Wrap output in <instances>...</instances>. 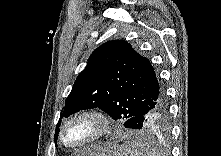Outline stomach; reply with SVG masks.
I'll return each mask as SVG.
<instances>
[{
    "instance_id": "0dacf381",
    "label": "stomach",
    "mask_w": 221,
    "mask_h": 156,
    "mask_svg": "<svg viewBox=\"0 0 221 156\" xmlns=\"http://www.w3.org/2000/svg\"><path fill=\"white\" fill-rule=\"evenodd\" d=\"M90 156H128L124 146L110 144L107 146H94L88 150Z\"/></svg>"
}]
</instances>
